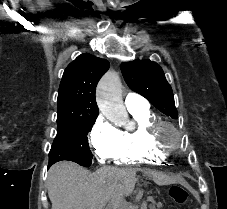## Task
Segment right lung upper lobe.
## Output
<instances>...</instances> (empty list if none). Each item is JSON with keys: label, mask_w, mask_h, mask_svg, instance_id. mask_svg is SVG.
I'll use <instances>...</instances> for the list:
<instances>
[{"label": "right lung upper lobe", "mask_w": 227, "mask_h": 209, "mask_svg": "<svg viewBox=\"0 0 227 209\" xmlns=\"http://www.w3.org/2000/svg\"><path fill=\"white\" fill-rule=\"evenodd\" d=\"M109 62L91 54L78 56L65 69L58 92V115H97L95 90Z\"/></svg>", "instance_id": "1"}]
</instances>
